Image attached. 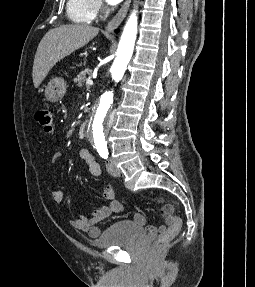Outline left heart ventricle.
Listing matches in <instances>:
<instances>
[{
	"mask_svg": "<svg viewBox=\"0 0 255 287\" xmlns=\"http://www.w3.org/2000/svg\"><path fill=\"white\" fill-rule=\"evenodd\" d=\"M117 48H125V47H117Z\"/></svg>",
	"mask_w": 255,
	"mask_h": 287,
	"instance_id": "obj_1",
	"label": "left heart ventricle"
}]
</instances>
